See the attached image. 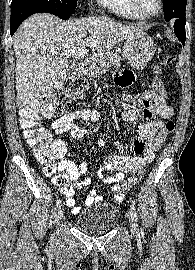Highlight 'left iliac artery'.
<instances>
[{"instance_id":"left-iliac-artery-1","label":"left iliac artery","mask_w":195,"mask_h":270,"mask_svg":"<svg viewBox=\"0 0 195 270\" xmlns=\"http://www.w3.org/2000/svg\"><path fill=\"white\" fill-rule=\"evenodd\" d=\"M131 213H132L135 221H137V213H136V209H135L134 203H131Z\"/></svg>"}]
</instances>
